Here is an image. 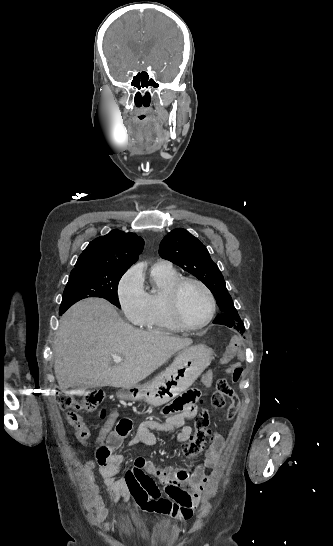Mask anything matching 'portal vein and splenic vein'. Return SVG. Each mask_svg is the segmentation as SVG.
I'll return each instance as SVG.
<instances>
[{
  "label": "portal vein and splenic vein",
  "mask_w": 333,
  "mask_h": 546,
  "mask_svg": "<svg viewBox=\"0 0 333 546\" xmlns=\"http://www.w3.org/2000/svg\"><path fill=\"white\" fill-rule=\"evenodd\" d=\"M122 360H123V358H122L121 356H118V355H114V356H113V361H114L115 363H121Z\"/></svg>",
  "instance_id": "obj_1"
}]
</instances>
